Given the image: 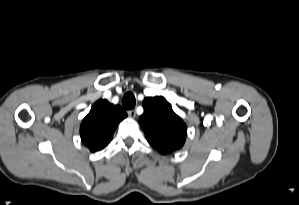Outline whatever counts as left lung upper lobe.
Instances as JSON below:
<instances>
[{"label":"left lung upper lobe","mask_w":299,"mask_h":205,"mask_svg":"<svg viewBox=\"0 0 299 205\" xmlns=\"http://www.w3.org/2000/svg\"><path fill=\"white\" fill-rule=\"evenodd\" d=\"M144 113L139 123L148 143L161 154H169L184 145L186 125L162 96L143 101Z\"/></svg>","instance_id":"left-lung-upper-lobe-1"}]
</instances>
